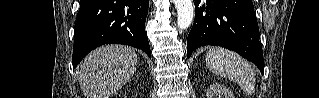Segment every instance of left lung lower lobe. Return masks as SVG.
Listing matches in <instances>:
<instances>
[{"label": "left lung lower lobe", "mask_w": 319, "mask_h": 98, "mask_svg": "<svg viewBox=\"0 0 319 98\" xmlns=\"http://www.w3.org/2000/svg\"><path fill=\"white\" fill-rule=\"evenodd\" d=\"M187 58L198 47L222 46L252 61L264 73L260 33L251 0H195Z\"/></svg>", "instance_id": "obj_1"}]
</instances>
